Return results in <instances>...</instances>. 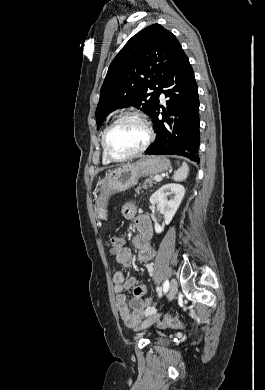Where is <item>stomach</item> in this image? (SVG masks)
Returning a JSON list of instances; mask_svg holds the SVG:
<instances>
[{"instance_id": "0dacf381", "label": "stomach", "mask_w": 265, "mask_h": 390, "mask_svg": "<svg viewBox=\"0 0 265 390\" xmlns=\"http://www.w3.org/2000/svg\"><path fill=\"white\" fill-rule=\"evenodd\" d=\"M170 168V161L162 156H149L136 163L124 165L109 172L101 182L96 197L95 212L100 220L107 219V204L109 197L123 192L138 182L141 176H152L162 173Z\"/></svg>"}]
</instances>
